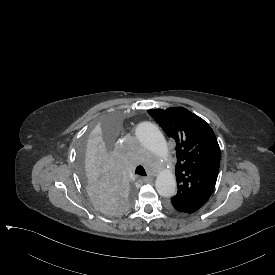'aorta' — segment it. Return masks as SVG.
<instances>
[{
    "label": "aorta",
    "mask_w": 275,
    "mask_h": 275,
    "mask_svg": "<svg viewBox=\"0 0 275 275\" xmlns=\"http://www.w3.org/2000/svg\"><path fill=\"white\" fill-rule=\"evenodd\" d=\"M135 135L142 143L159 148H165V139L159 128L152 122L142 121L135 128ZM157 193L164 198L176 195L175 177L167 171L161 172L155 182Z\"/></svg>",
    "instance_id": "aorta-1"
}]
</instances>
